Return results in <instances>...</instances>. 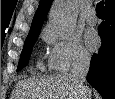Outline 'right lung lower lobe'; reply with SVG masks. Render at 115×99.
I'll use <instances>...</instances> for the list:
<instances>
[{"mask_svg": "<svg viewBox=\"0 0 115 99\" xmlns=\"http://www.w3.org/2000/svg\"><path fill=\"white\" fill-rule=\"evenodd\" d=\"M104 16L98 28L102 45L91 58L87 81L103 98L115 99V6L104 10Z\"/></svg>", "mask_w": 115, "mask_h": 99, "instance_id": "obj_1", "label": "right lung lower lobe"}]
</instances>
